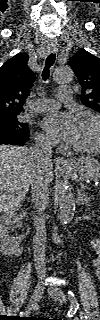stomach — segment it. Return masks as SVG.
<instances>
[{
  "label": "stomach",
  "instance_id": "1",
  "mask_svg": "<svg viewBox=\"0 0 100 320\" xmlns=\"http://www.w3.org/2000/svg\"><path fill=\"white\" fill-rule=\"evenodd\" d=\"M64 172L76 181H91L100 177V162L90 156L71 160Z\"/></svg>",
  "mask_w": 100,
  "mask_h": 320
}]
</instances>
